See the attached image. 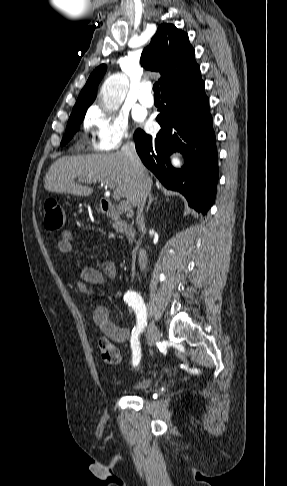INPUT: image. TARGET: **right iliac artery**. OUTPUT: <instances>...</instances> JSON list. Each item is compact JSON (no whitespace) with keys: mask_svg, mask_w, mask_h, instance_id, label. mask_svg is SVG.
<instances>
[{"mask_svg":"<svg viewBox=\"0 0 287 486\" xmlns=\"http://www.w3.org/2000/svg\"><path fill=\"white\" fill-rule=\"evenodd\" d=\"M124 301L134 310L137 316V324L132 330L131 339L133 364L136 366L141 358L139 335L146 326V307L141 296L135 291H127L124 295Z\"/></svg>","mask_w":287,"mask_h":486,"instance_id":"82829eb1","label":"right iliac artery"}]
</instances>
